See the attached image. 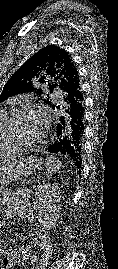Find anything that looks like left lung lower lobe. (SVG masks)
<instances>
[{
  "label": "left lung lower lobe",
  "mask_w": 118,
  "mask_h": 269,
  "mask_svg": "<svg viewBox=\"0 0 118 269\" xmlns=\"http://www.w3.org/2000/svg\"><path fill=\"white\" fill-rule=\"evenodd\" d=\"M64 105L57 123L56 138L47 151L70 157L81 168L82 138L84 132V107L81 87L71 91L63 98ZM60 110V106H56ZM53 108V109H54Z\"/></svg>",
  "instance_id": "obj_1"
}]
</instances>
